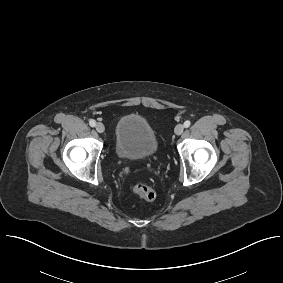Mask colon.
<instances>
[{
	"label": "colon",
	"mask_w": 283,
	"mask_h": 283,
	"mask_svg": "<svg viewBox=\"0 0 283 283\" xmlns=\"http://www.w3.org/2000/svg\"><path fill=\"white\" fill-rule=\"evenodd\" d=\"M133 191L148 201H152L156 198V191L154 188L145 182L136 183L133 186Z\"/></svg>",
	"instance_id": "1"
}]
</instances>
